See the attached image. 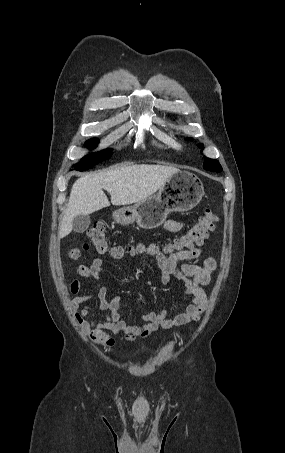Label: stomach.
I'll return each mask as SVG.
<instances>
[{"label": "stomach", "mask_w": 285, "mask_h": 453, "mask_svg": "<svg viewBox=\"0 0 285 453\" xmlns=\"http://www.w3.org/2000/svg\"><path fill=\"white\" fill-rule=\"evenodd\" d=\"M204 195L201 180L193 173L178 171L150 196L133 206L113 212L116 223L123 226L136 222L143 229H153L163 224L171 212H184L194 208Z\"/></svg>", "instance_id": "obj_1"}]
</instances>
